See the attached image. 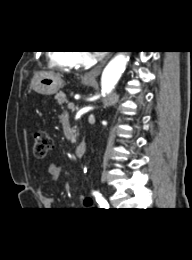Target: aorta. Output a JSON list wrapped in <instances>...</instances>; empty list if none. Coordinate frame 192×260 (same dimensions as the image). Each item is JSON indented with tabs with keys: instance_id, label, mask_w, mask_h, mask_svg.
I'll list each match as a JSON object with an SVG mask.
<instances>
[{
	"instance_id": "1",
	"label": "aorta",
	"mask_w": 192,
	"mask_h": 260,
	"mask_svg": "<svg viewBox=\"0 0 192 260\" xmlns=\"http://www.w3.org/2000/svg\"><path fill=\"white\" fill-rule=\"evenodd\" d=\"M129 57L125 54H118L107 64L101 77V91L103 94H110L122 73L125 71Z\"/></svg>"
}]
</instances>
